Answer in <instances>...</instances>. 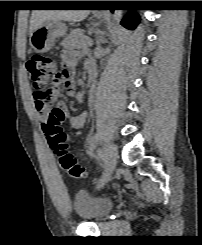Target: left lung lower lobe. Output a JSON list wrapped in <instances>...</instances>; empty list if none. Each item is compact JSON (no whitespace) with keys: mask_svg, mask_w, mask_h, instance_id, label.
I'll list each match as a JSON object with an SVG mask.
<instances>
[{"mask_svg":"<svg viewBox=\"0 0 202 245\" xmlns=\"http://www.w3.org/2000/svg\"><path fill=\"white\" fill-rule=\"evenodd\" d=\"M139 17L134 13H129L127 17L122 21V25L128 29H135L137 24L139 23Z\"/></svg>","mask_w":202,"mask_h":245,"instance_id":"left-lung-lower-lobe-1","label":"left lung lower lobe"}]
</instances>
